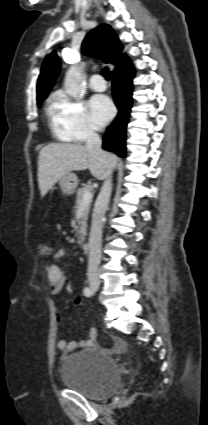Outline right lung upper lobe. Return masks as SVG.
<instances>
[{
  "label": "right lung upper lobe",
  "instance_id": "right-lung-upper-lobe-1",
  "mask_svg": "<svg viewBox=\"0 0 208 425\" xmlns=\"http://www.w3.org/2000/svg\"><path fill=\"white\" fill-rule=\"evenodd\" d=\"M122 49L117 34L107 24H102L89 32L82 43V51L86 55L114 64L115 70L112 73L131 65L127 55L122 54ZM59 71L60 61L56 53L52 52L45 58L41 68L37 83V102L47 98Z\"/></svg>",
  "mask_w": 208,
  "mask_h": 425
}]
</instances>
